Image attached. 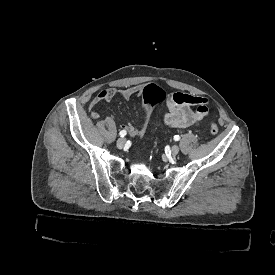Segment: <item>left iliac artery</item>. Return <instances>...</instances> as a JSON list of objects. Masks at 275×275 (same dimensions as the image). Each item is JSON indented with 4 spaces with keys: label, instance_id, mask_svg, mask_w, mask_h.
I'll return each instance as SVG.
<instances>
[{
    "label": "left iliac artery",
    "instance_id": "44dca946",
    "mask_svg": "<svg viewBox=\"0 0 275 275\" xmlns=\"http://www.w3.org/2000/svg\"><path fill=\"white\" fill-rule=\"evenodd\" d=\"M174 140H175V141H179V140H180V136H179V135H175V136H174Z\"/></svg>",
    "mask_w": 275,
    "mask_h": 275
}]
</instances>
